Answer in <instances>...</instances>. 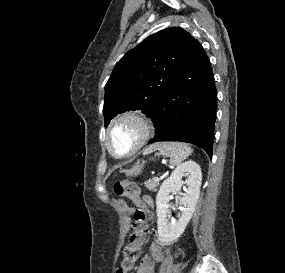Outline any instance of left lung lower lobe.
<instances>
[{
	"label": "left lung lower lobe",
	"instance_id": "left-lung-lower-lobe-1",
	"mask_svg": "<svg viewBox=\"0 0 285 273\" xmlns=\"http://www.w3.org/2000/svg\"><path fill=\"white\" fill-rule=\"evenodd\" d=\"M217 91L208 56L193 38L186 60L171 87L149 117L156 134L149 143L181 141L212 157Z\"/></svg>",
	"mask_w": 285,
	"mask_h": 273
}]
</instances>
